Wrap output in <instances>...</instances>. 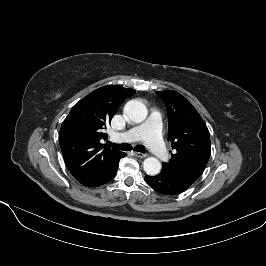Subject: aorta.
Returning <instances> with one entry per match:
<instances>
[{
  "label": "aorta",
  "instance_id": "obj_1",
  "mask_svg": "<svg viewBox=\"0 0 266 266\" xmlns=\"http://www.w3.org/2000/svg\"><path fill=\"white\" fill-rule=\"evenodd\" d=\"M125 114L134 123H141L147 117L146 106L138 100H130L125 105ZM161 163L155 157H148L143 162L144 171L151 176L157 175L161 171Z\"/></svg>",
  "mask_w": 266,
  "mask_h": 266
}]
</instances>
